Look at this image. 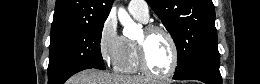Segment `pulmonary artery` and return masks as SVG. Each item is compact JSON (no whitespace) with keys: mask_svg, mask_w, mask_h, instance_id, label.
Masks as SVG:
<instances>
[{"mask_svg":"<svg viewBox=\"0 0 260 84\" xmlns=\"http://www.w3.org/2000/svg\"><path fill=\"white\" fill-rule=\"evenodd\" d=\"M128 10L133 16L144 22L149 18V8L146 1H131L128 4Z\"/></svg>","mask_w":260,"mask_h":84,"instance_id":"1","label":"pulmonary artery"}]
</instances>
